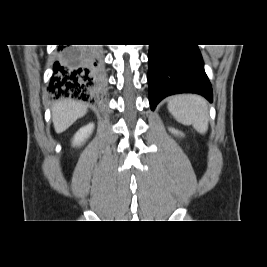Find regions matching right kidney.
I'll use <instances>...</instances> for the list:
<instances>
[{
    "mask_svg": "<svg viewBox=\"0 0 267 267\" xmlns=\"http://www.w3.org/2000/svg\"><path fill=\"white\" fill-rule=\"evenodd\" d=\"M94 129V124H88L78 130L73 138V145L80 146L91 135Z\"/></svg>",
    "mask_w": 267,
    "mask_h": 267,
    "instance_id": "right-kidney-1",
    "label": "right kidney"
}]
</instances>
